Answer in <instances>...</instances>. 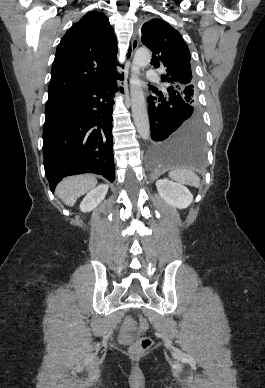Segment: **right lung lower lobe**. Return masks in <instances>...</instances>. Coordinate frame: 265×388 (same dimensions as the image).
<instances>
[{
	"mask_svg": "<svg viewBox=\"0 0 265 388\" xmlns=\"http://www.w3.org/2000/svg\"><path fill=\"white\" fill-rule=\"evenodd\" d=\"M117 79L123 80L124 75L116 74L105 82L47 101L43 154L52 192L68 175L89 172L111 182L115 179L112 111Z\"/></svg>",
	"mask_w": 265,
	"mask_h": 388,
	"instance_id": "obj_1",
	"label": "right lung lower lobe"
}]
</instances>
